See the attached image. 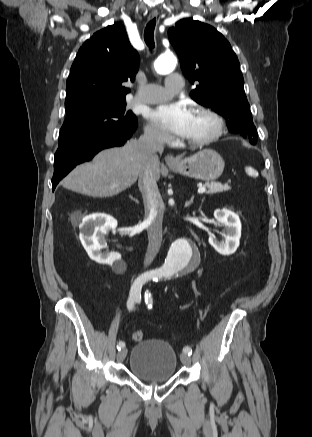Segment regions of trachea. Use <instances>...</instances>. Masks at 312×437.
I'll list each match as a JSON object with an SVG mask.
<instances>
[{
  "label": "trachea",
  "mask_w": 312,
  "mask_h": 437,
  "mask_svg": "<svg viewBox=\"0 0 312 437\" xmlns=\"http://www.w3.org/2000/svg\"><path fill=\"white\" fill-rule=\"evenodd\" d=\"M155 25H156V19L154 18L148 22V24L146 25L145 31H144V40L150 49H153L155 46V43H154Z\"/></svg>",
  "instance_id": "3493384b"
}]
</instances>
